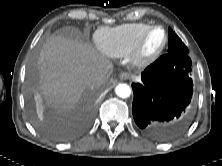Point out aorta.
Segmentation results:
<instances>
[{
  "instance_id": "1",
  "label": "aorta",
  "mask_w": 222,
  "mask_h": 166,
  "mask_svg": "<svg viewBox=\"0 0 222 166\" xmlns=\"http://www.w3.org/2000/svg\"><path fill=\"white\" fill-rule=\"evenodd\" d=\"M115 92L121 98H127L131 94V89L127 84L121 83L116 86Z\"/></svg>"
}]
</instances>
